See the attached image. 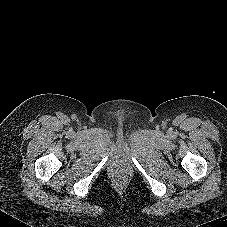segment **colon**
I'll use <instances>...</instances> for the list:
<instances>
[{"instance_id": "obj_1", "label": "colon", "mask_w": 227, "mask_h": 227, "mask_svg": "<svg viewBox=\"0 0 227 227\" xmlns=\"http://www.w3.org/2000/svg\"><path fill=\"white\" fill-rule=\"evenodd\" d=\"M118 180L121 182V181L124 180V177H123V176H119V177H118Z\"/></svg>"}]
</instances>
